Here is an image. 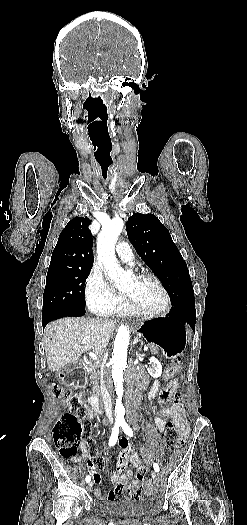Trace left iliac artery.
I'll return each mask as SVG.
<instances>
[{
  "label": "left iliac artery",
  "instance_id": "left-iliac-artery-1",
  "mask_svg": "<svg viewBox=\"0 0 247 525\" xmlns=\"http://www.w3.org/2000/svg\"><path fill=\"white\" fill-rule=\"evenodd\" d=\"M121 427H122L124 433H126L128 436H130V437L133 436V431H132L131 427H130L125 421L121 422ZM153 468H154V470H155L157 473H158L159 470H160V469H159V465H158L157 463H154V464H153Z\"/></svg>",
  "mask_w": 247,
  "mask_h": 525
}]
</instances>
